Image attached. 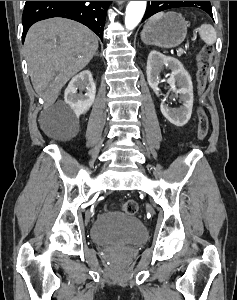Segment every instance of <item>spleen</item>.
I'll return each mask as SVG.
<instances>
[{
  "instance_id": "3e777b00",
  "label": "spleen",
  "mask_w": 237,
  "mask_h": 300,
  "mask_svg": "<svg viewBox=\"0 0 237 300\" xmlns=\"http://www.w3.org/2000/svg\"><path fill=\"white\" fill-rule=\"evenodd\" d=\"M162 17H164V13H157V15H153V17H150L148 23L159 21V19H162ZM197 31L204 43H207V45H214L217 35L212 25H201V27H199Z\"/></svg>"
}]
</instances>
